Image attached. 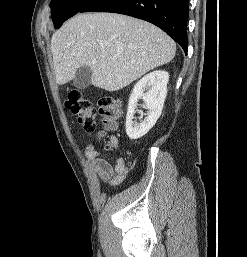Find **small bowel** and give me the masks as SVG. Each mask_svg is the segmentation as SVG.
<instances>
[{"label": "small bowel", "mask_w": 247, "mask_h": 257, "mask_svg": "<svg viewBox=\"0 0 247 257\" xmlns=\"http://www.w3.org/2000/svg\"><path fill=\"white\" fill-rule=\"evenodd\" d=\"M110 144L114 150L119 147V141L116 137L110 138ZM85 156L92 164L98 177L102 181L108 182L110 186H117L126 178L127 166L123 159H117L115 164L112 165L92 143L86 146Z\"/></svg>", "instance_id": "c3829d8e"}]
</instances>
